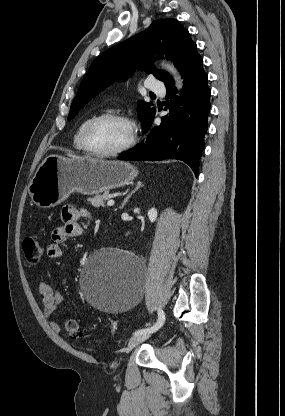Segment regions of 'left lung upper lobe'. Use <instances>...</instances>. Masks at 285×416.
I'll return each mask as SVG.
<instances>
[{
    "mask_svg": "<svg viewBox=\"0 0 285 416\" xmlns=\"http://www.w3.org/2000/svg\"><path fill=\"white\" fill-rule=\"evenodd\" d=\"M199 56L195 42L178 20L153 21L147 30L108 49L93 61L71 104L68 120L114 81L131 76L135 68L152 73L166 85L173 82L172 77L163 70H157L151 65L152 61L165 57L173 61L182 73ZM152 105L151 102H138V116L144 126L155 116L156 110Z\"/></svg>",
    "mask_w": 285,
    "mask_h": 416,
    "instance_id": "left-lung-upper-lobe-1",
    "label": "left lung upper lobe"
}]
</instances>
